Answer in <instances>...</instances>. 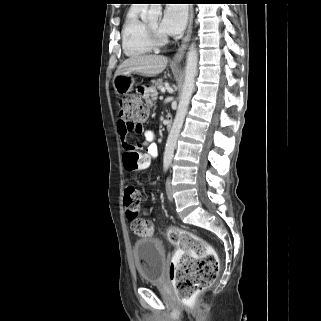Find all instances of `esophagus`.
I'll use <instances>...</instances> for the list:
<instances>
[{"label": "esophagus", "instance_id": "1", "mask_svg": "<svg viewBox=\"0 0 321 321\" xmlns=\"http://www.w3.org/2000/svg\"><path fill=\"white\" fill-rule=\"evenodd\" d=\"M192 23H193V7L190 6L189 7V21H188L186 35L183 38L181 45L179 46L177 52L175 53V55L173 57V61H175V62L180 61L185 54V51L188 47V43H189L191 33H192Z\"/></svg>", "mask_w": 321, "mask_h": 321}]
</instances>
